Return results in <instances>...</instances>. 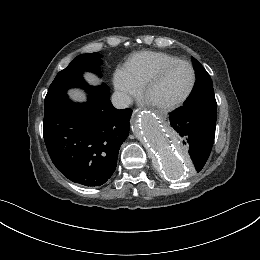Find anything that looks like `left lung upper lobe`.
<instances>
[{
    "label": "left lung upper lobe",
    "mask_w": 260,
    "mask_h": 260,
    "mask_svg": "<svg viewBox=\"0 0 260 260\" xmlns=\"http://www.w3.org/2000/svg\"><path fill=\"white\" fill-rule=\"evenodd\" d=\"M193 63L197 74V83L193 94L188 98L184 107H193L204 102L216 103L210 75L196 59H193Z\"/></svg>",
    "instance_id": "5c2ea615"
}]
</instances>
